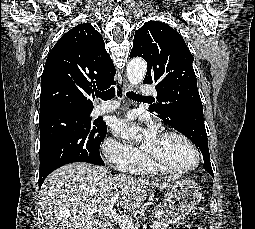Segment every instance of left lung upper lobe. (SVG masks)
<instances>
[{
	"label": "left lung upper lobe",
	"mask_w": 255,
	"mask_h": 229,
	"mask_svg": "<svg viewBox=\"0 0 255 229\" xmlns=\"http://www.w3.org/2000/svg\"><path fill=\"white\" fill-rule=\"evenodd\" d=\"M137 56L148 64L143 83L156 84L159 103L151 105L150 112L186 135L203 156L209 155L207 133L193 127L194 118H179L192 107L202 106L193 56L182 36L162 22H146L134 36L130 58Z\"/></svg>",
	"instance_id": "5c2ea615"
}]
</instances>
